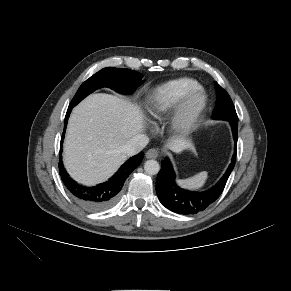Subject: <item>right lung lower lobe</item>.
<instances>
[{
	"instance_id": "right-lung-lower-lobe-1",
	"label": "right lung lower lobe",
	"mask_w": 291,
	"mask_h": 291,
	"mask_svg": "<svg viewBox=\"0 0 291 291\" xmlns=\"http://www.w3.org/2000/svg\"><path fill=\"white\" fill-rule=\"evenodd\" d=\"M71 110L72 107H69L65 116V124L61 138V146L64 138L67 120L69 118ZM143 156L144 153L141 152L138 155L130 158L126 163L122 165V167L112 178H110L103 184L93 187H87L76 183L69 177L61 161L60 152L59 157L60 176L68 191L80 205H82L84 208L90 211H101L111 207L116 202L120 195L125 180L132 173V171L140 165Z\"/></svg>"
}]
</instances>
